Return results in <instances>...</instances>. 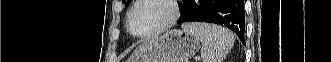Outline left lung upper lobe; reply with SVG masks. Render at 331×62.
<instances>
[{
  "mask_svg": "<svg viewBox=\"0 0 331 62\" xmlns=\"http://www.w3.org/2000/svg\"><path fill=\"white\" fill-rule=\"evenodd\" d=\"M123 2H125L126 0H122ZM131 2V0H127V3ZM187 0H182L183 6L186 4ZM182 7V5H181Z\"/></svg>",
  "mask_w": 331,
  "mask_h": 62,
  "instance_id": "obj_1",
  "label": "left lung upper lobe"
}]
</instances>
